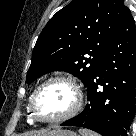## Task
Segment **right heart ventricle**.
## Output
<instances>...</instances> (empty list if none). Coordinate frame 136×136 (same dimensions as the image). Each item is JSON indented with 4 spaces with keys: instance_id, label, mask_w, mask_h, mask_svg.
<instances>
[{
    "instance_id": "right-heart-ventricle-1",
    "label": "right heart ventricle",
    "mask_w": 136,
    "mask_h": 136,
    "mask_svg": "<svg viewBox=\"0 0 136 136\" xmlns=\"http://www.w3.org/2000/svg\"><path fill=\"white\" fill-rule=\"evenodd\" d=\"M27 112H28V120H29L30 122H33V119H32V117H31V115H30L28 106H27Z\"/></svg>"
}]
</instances>
